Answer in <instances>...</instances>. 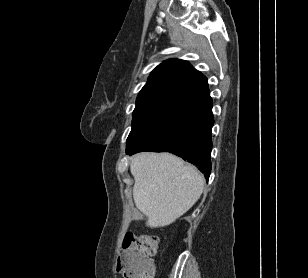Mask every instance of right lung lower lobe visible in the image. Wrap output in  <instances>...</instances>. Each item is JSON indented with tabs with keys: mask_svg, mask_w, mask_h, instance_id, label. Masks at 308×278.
<instances>
[{
	"mask_svg": "<svg viewBox=\"0 0 308 278\" xmlns=\"http://www.w3.org/2000/svg\"><path fill=\"white\" fill-rule=\"evenodd\" d=\"M212 99L207 97L175 116L164 128L127 154L141 151L170 152L199 166L207 181L211 172Z\"/></svg>",
	"mask_w": 308,
	"mask_h": 278,
	"instance_id": "obj_1",
	"label": "right lung lower lobe"
}]
</instances>
